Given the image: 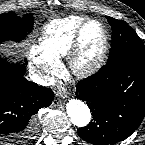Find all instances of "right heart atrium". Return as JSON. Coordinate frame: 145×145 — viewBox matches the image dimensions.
I'll use <instances>...</instances> for the list:
<instances>
[{"label":"right heart atrium","mask_w":145,"mask_h":145,"mask_svg":"<svg viewBox=\"0 0 145 145\" xmlns=\"http://www.w3.org/2000/svg\"><path fill=\"white\" fill-rule=\"evenodd\" d=\"M33 61L43 78L50 79L60 68V62L49 57L41 56L37 49L33 53Z\"/></svg>","instance_id":"1"}]
</instances>
